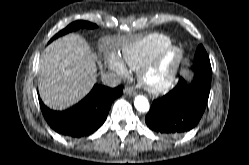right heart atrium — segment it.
Masks as SVG:
<instances>
[{"mask_svg": "<svg viewBox=\"0 0 249 165\" xmlns=\"http://www.w3.org/2000/svg\"><path fill=\"white\" fill-rule=\"evenodd\" d=\"M109 66H110V68L115 70L120 75H127L128 74V66L123 61V59L118 57V56H115V55L110 56Z\"/></svg>", "mask_w": 249, "mask_h": 165, "instance_id": "right-heart-atrium-1", "label": "right heart atrium"}]
</instances>
